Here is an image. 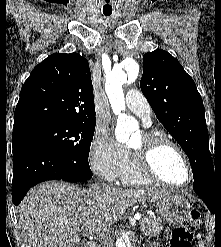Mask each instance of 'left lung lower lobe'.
I'll use <instances>...</instances> for the list:
<instances>
[{
	"label": "left lung lower lobe",
	"instance_id": "left-lung-lower-lobe-1",
	"mask_svg": "<svg viewBox=\"0 0 221 247\" xmlns=\"http://www.w3.org/2000/svg\"><path fill=\"white\" fill-rule=\"evenodd\" d=\"M193 189L214 213L217 203L221 201V173L213 170L206 176L194 179Z\"/></svg>",
	"mask_w": 221,
	"mask_h": 247
}]
</instances>
